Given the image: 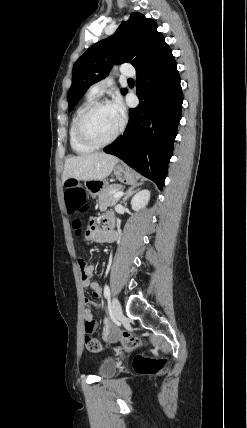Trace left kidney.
Listing matches in <instances>:
<instances>
[{"instance_id": "1", "label": "left kidney", "mask_w": 247, "mask_h": 428, "mask_svg": "<svg viewBox=\"0 0 247 428\" xmlns=\"http://www.w3.org/2000/svg\"><path fill=\"white\" fill-rule=\"evenodd\" d=\"M149 199H150L149 190H141L137 192L131 200L132 209L135 211H138L144 208L148 204Z\"/></svg>"}]
</instances>
